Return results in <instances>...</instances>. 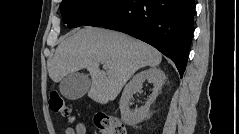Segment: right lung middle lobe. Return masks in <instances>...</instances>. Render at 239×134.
Masks as SVG:
<instances>
[{
  "instance_id": "dd1d6c3e",
  "label": "right lung middle lobe",
  "mask_w": 239,
  "mask_h": 134,
  "mask_svg": "<svg viewBox=\"0 0 239 134\" xmlns=\"http://www.w3.org/2000/svg\"><path fill=\"white\" fill-rule=\"evenodd\" d=\"M116 0H63L60 11L69 28L84 25Z\"/></svg>"
}]
</instances>
